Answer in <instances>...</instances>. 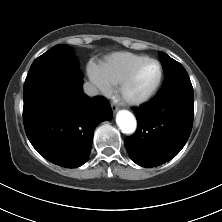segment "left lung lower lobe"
Wrapping results in <instances>:
<instances>
[{
	"instance_id": "obj_1",
	"label": "left lung lower lobe",
	"mask_w": 222,
	"mask_h": 222,
	"mask_svg": "<svg viewBox=\"0 0 222 222\" xmlns=\"http://www.w3.org/2000/svg\"><path fill=\"white\" fill-rule=\"evenodd\" d=\"M133 112L138 128L124 140L128 154L142 167L159 166L175 157L189 138L194 117L192 84L162 87Z\"/></svg>"
}]
</instances>
